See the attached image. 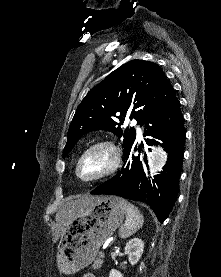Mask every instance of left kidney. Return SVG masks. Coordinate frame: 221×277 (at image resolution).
Here are the masks:
<instances>
[{
    "label": "left kidney",
    "mask_w": 221,
    "mask_h": 277,
    "mask_svg": "<svg viewBox=\"0 0 221 277\" xmlns=\"http://www.w3.org/2000/svg\"><path fill=\"white\" fill-rule=\"evenodd\" d=\"M144 251V242L139 238H133L127 242L125 246V254L128 255V260L132 266L137 264ZM109 277H123V275L112 269L109 273Z\"/></svg>",
    "instance_id": "obj_1"
}]
</instances>
